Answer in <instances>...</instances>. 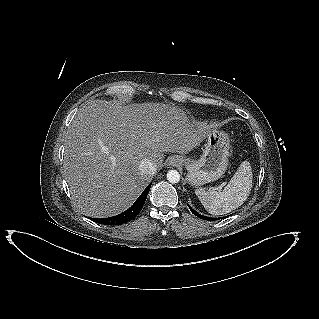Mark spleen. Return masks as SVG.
Segmentation results:
<instances>
[{
    "instance_id": "3e777b00",
    "label": "spleen",
    "mask_w": 319,
    "mask_h": 319,
    "mask_svg": "<svg viewBox=\"0 0 319 319\" xmlns=\"http://www.w3.org/2000/svg\"><path fill=\"white\" fill-rule=\"evenodd\" d=\"M252 188V169L243 161L222 191L197 189L195 194L204 208L213 215H222L240 207Z\"/></svg>"
}]
</instances>
